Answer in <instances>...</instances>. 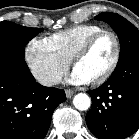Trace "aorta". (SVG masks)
Returning <instances> with one entry per match:
<instances>
[{
    "label": "aorta",
    "instance_id": "1",
    "mask_svg": "<svg viewBox=\"0 0 139 139\" xmlns=\"http://www.w3.org/2000/svg\"><path fill=\"white\" fill-rule=\"evenodd\" d=\"M73 104L76 109L80 111L88 110L91 106V99L90 97L85 93H78L73 98Z\"/></svg>",
    "mask_w": 139,
    "mask_h": 139
}]
</instances>
